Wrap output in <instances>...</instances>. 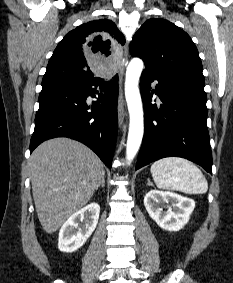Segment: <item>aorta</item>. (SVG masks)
<instances>
[{
	"label": "aorta",
	"instance_id": "1",
	"mask_svg": "<svg viewBox=\"0 0 233 283\" xmlns=\"http://www.w3.org/2000/svg\"><path fill=\"white\" fill-rule=\"evenodd\" d=\"M142 70L143 61L140 58H133L126 70L125 97L130 116L126 145V158L128 161L133 160L136 156L144 133L143 107L138 87Z\"/></svg>",
	"mask_w": 233,
	"mask_h": 283
}]
</instances>
